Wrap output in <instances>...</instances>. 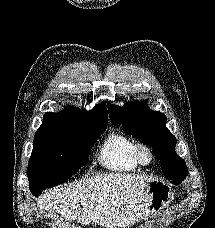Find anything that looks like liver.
Listing matches in <instances>:
<instances>
[{
  "label": "liver",
  "instance_id": "6515ba94",
  "mask_svg": "<svg viewBox=\"0 0 215 228\" xmlns=\"http://www.w3.org/2000/svg\"><path fill=\"white\" fill-rule=\"evenodd\" d=\"M151 176L103 174L64 184L36 198L38 208L58 212L66 224L126 228L147 220Z\"/></svg>",
  "mask_w": 215,
  "mask_h": 228
}]
</instances>
